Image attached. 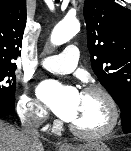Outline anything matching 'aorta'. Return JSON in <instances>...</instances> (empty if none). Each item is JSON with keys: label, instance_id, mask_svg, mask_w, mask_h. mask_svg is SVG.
Returning a JSON list of instances; mask_svg holds the SVG:
<instances>
[{"label": "aorta", "instance_id": "1", "mask_svg": "<svg viewBox=\"0 0 131 151\" xmlns=\"http://www.w3.org/2000/svg\"><path fill=\"white\" fill-rule=\"evenodd\" d=\"M80 24L75 18H65L59 22L51 34V42L55 45H61L69 41L78 33Z\"/></svg>", "mask_w": 131, "mask_h": 151}]
</instances>
